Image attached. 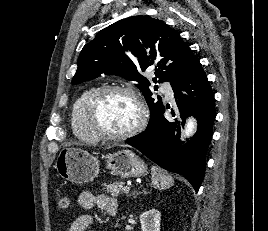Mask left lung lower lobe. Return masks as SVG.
Listing matches in <instances>:
<instances>
[{
	"label": "left lung lower lobe",
	"mask_w": 268,
	"mask_h": 231,
	"mask_svg": "<svg viewBox=\"0 0 268 231\" xmlns=\"http://www.w3.org/2000/svg\"><path fill=\"white\" fill-rule=\"evenodd\" d=\"M171 86L177 105V118L167 120L163 108L144 132L127 139V143L162 168L184 176L198 192L205 173L206 153L216 116L214 93L199 59L183 75L175 78ZM189 115H195L198 129L183 144L179 140L180 128Z\"/></svg>",
	"instance_id": "left-lung-lower-lobe-1"
}]
</instances>
